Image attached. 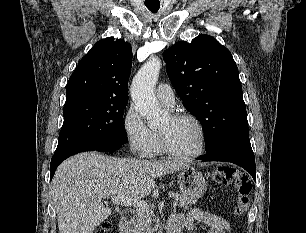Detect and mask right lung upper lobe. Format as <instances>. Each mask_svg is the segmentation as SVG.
<instances>
[{
  "label": "right lung upper lobe",
  "mask_w": 306,
  "mask_h": 233,
  "mask_svg": "<svg viewBox=\"0 0 306 233\" xmlns=\"http://www.w3.org/2000/svg\"><path fill=\"white\" fill-rule=\"evenodd\" d=\"M132 67L131 45L108 37L98 41L84 56L66 86V102L79 99L128 102Z\"/></svg>",
  "instance_id": "obj_1"
}]
</instances>
